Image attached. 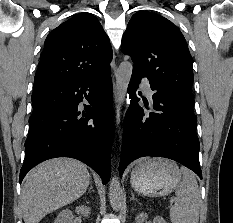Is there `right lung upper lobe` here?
Segmentation results:
<instances>
[{"label":"right lung upper lobe","instance_id":"obj_1","mask_svg":"<svg viewBox=\"0 0 233 223\" xmlns=\"http://www.w3.org/2000/svg\"><path fill=\"white\" fill-rule=\"evenodd\" d=\"M112 49L97 18L78 14L46 38L34 89L96 77L110 69Z\"/></svg>","mask_w":233,"mask_h":223}]
</instances>
